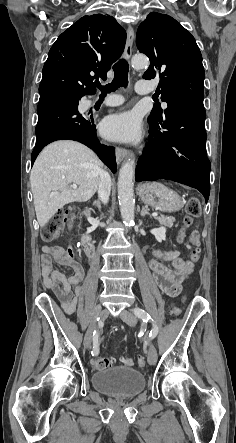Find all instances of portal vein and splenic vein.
<instances>
[{
	"label": "portal vein and splenic vein",
	"instance_id": "obj_1",
	"mask_svg": "<svg viewBox=\"0 0 236 443\" xmlns=\"http://www.w3.org/2000/svg\"><path fill=\"white\" fill-rule=\"evenodd\" d=\"M72 188H73V189H76V188H77V185H76V184H73V185H72ZM157 215H158L157 213H152V216H153V217H156Z\"/></svg>",
	"mask_w": 236,
	"mask_h": 443
}]
</instances>
